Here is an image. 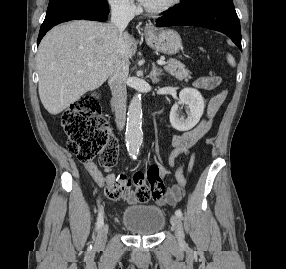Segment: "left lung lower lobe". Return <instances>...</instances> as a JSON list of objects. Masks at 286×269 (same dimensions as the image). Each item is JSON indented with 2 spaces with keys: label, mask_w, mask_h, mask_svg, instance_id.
Masks as SVG:
<instances>
[{
  "label": "left lung lower lobe",
  "mask_w": 286,
  "mask_h": 269,
  "mask_svg": "<svg viewBox=\"0 0 286 269\" xmlns=\"http://www.w3.org/2000/svg\"><path fill=\"white\" fill-rule=\"evenodd\" d=\"M166 15L156 21L158 27L199 26L226 34L242 51L241 28L233 4H203L197 7L165 11Z\"/></svg>",
  "instance_id": "obj_1"
}]
</instances>
